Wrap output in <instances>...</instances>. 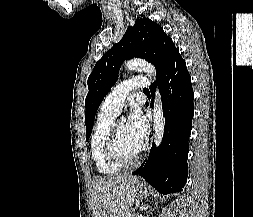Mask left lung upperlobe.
Masks as SVG:
<instances>
[{
  "instance_id": "1",
  "label": "left lung upper lobe",
  "mask_w": 253,
  "mask_h": 217,
  "mask_svg": "<svg viewBox=\"0 0 253 217\" xmlns=\"http://www.w3.org/2000/svg\"><path fill=\"white\" fill-rule=\"evenodd\" d=\"M179 54L171 38L160 25L150 19H137L130 26L121 41L108 50L95 64L88 77V94L85 99L86 140L89 139L95 114L118 79V72L124 60L139 57L151 62L157 71V77Z\"/></svg>"
}]
</instances>
